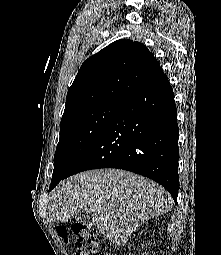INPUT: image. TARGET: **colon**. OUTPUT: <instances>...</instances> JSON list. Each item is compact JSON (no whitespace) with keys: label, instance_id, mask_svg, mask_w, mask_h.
<instances>
[{"label":"colon","instance_id":"5ec220e1","mask_svg":"<svg viewBox=\"0 0 221 255\" xmlns=\"http://www.w3.org/2000/svg\"><path fill=\"white\" fill-rule=\"evenodd\" d=\"M76 236V255H107L100 245L99 234L90 224L78 222L72 227ZM57 233L65 243H68V228L57 226Z\"/></svg>","mask_w":221,"mask_h":255}]
</instances>
